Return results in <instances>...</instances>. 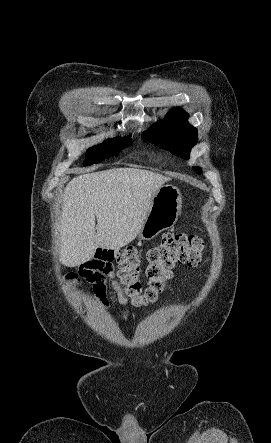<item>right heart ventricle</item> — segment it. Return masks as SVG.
<instances>
[{
  "mask_svg": "<svg viewBox=\"0 0 271 443\" xmlns=\"http://www.w3.org/2000/svg\"><path fill=\"white\" fill-rule=\"evenodd\" d=\"M149 159L154 164H162V163H164V158L161 157L160 155H150Z\"/></svg>",
  "mask_w": 271,
  "mask_h": 443,
  "instance_id": "1",
  "label": "right heart ventricle"
}]
</instances>
